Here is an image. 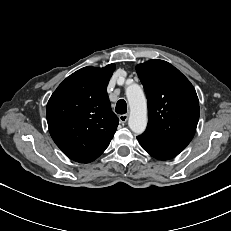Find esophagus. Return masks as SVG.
Here are the masks:
<instances>
[{"mask_svg":"<svg viewBox=\"0 0 231 231\" xmlns=\"http://www.w3.org/2000/svg\"><path fill=\"white\" fill-rule=\"evenodd\" d=\"M119 120L121 123H126L128 120V114H122L119 116Z\"/></svg>","mask_w":231,"mask_h":231,"instance_id":"34e87169","label":"esophagus"}]
</instances>
